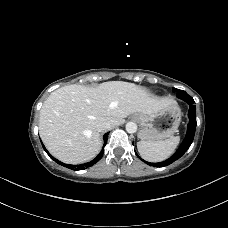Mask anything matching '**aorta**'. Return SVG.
I'll use <instances>...</instances> for the list:
<instances>
[{"label": "aorta", "mask_w": 228, "mask_h": 228, "mask_svg": "<svg viewBox=\"0 0 228 228\" xmlns=\"http://www.w3.org/2000/svg\"><path fill=\"white\" fill-rule=\"evenodd\" d=\"M126 131L128 133H135L137 131V125L134 122H128L126 124Z\"/></svg>", "instance_id": "aorta-1"}]
</instances>
